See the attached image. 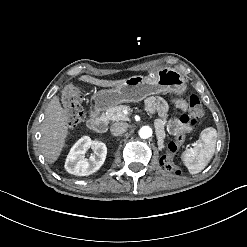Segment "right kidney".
I'll return each mask as SVG.
<instances>
[{
	"instance_id": "obj_1",
	"label": "right kidney",
	"mask_w": 247,
	"mask_h": 247,
	"mask_svg": "<svg viewBox=\"0 0 247 247\" xmlns=\"http://www.w3.org/2000/svg\"><path fill=\"white\" fill-rule=\"evenodd\" d=\"M89 148L94 151V154L86 159L84 155ZM106 155L107 147L103 142L93 141L89 136H83L70 149L65 169L68 173L76 176L91 175L103 165Z\"/></svg>"
}]
</instances>
